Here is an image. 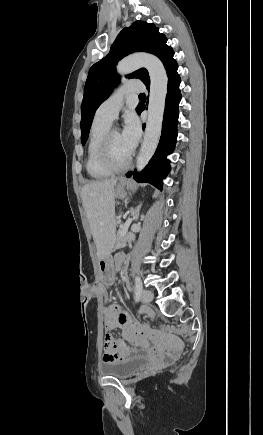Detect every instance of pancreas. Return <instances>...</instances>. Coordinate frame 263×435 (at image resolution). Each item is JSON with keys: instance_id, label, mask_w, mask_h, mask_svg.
Returning a JSON list of instances; mask_svg holds the SVG:
<instances>
[{"instance_id": "1", "label": "pancreas", "mask_w": 263, "mask_h": 435, "mask_svg": "<svg viewBox=\"0 0 263 435\" xmlns=\"http://www.w3.org/2000/svg\"><path fill=\"white\" fill-rule=\"evenodd\" d=\"M121 230L122 228H120L117 232V238H116V245L115 248L119 249L122 248L126 245L127 241H130L131 239H133V234L131 233H126L125 235H121Z\"/></svg>"}]
</instances>
